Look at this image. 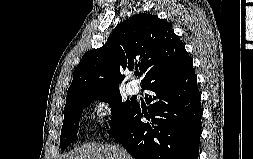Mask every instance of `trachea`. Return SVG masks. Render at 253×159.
Masks as SVG:
<instances>
[{"label":"trachea","mask_w":253,"mask_h":159,"mask_svg":"<svg viewBox=\"0 0 253 159\" xmlns=\"http://www.w3.org/2000/svg\"><path fill=\"white\" fill-rule=\"evenodd\" d=\"M135 75H139V72H138V71H136V72H135Z\"/></svg>","instance_id":"trachea-1"}]
</instances>
